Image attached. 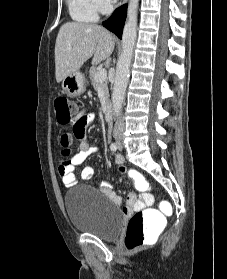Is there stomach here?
<instances>
[{"instance_id":"0dacf381","label":"stomach","mask_w":227,"mask_h":279,"mask_svg":"<svg viewBox=\"0 0 227 279\" xmlns=\"http://www.w3.org/2000/svg\"><path fill=\"white\" fill-rule=\"evenodd\" d=\"M61 87L69 97L79 96L86 89L84 76L76 71L62 80Z\"/></svg>"}]
</instances>
